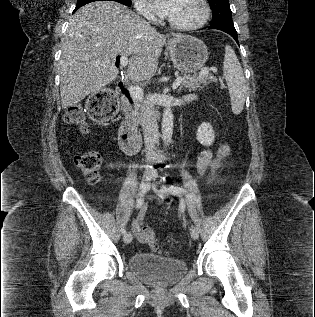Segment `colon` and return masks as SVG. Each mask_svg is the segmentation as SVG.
I'll return each instance as SVG.
<instances>
[{
	"instance_id": "1",
	"label": "colon",
	"mask_w": 315,
	"mask_h": 317,
	"mask_svg": "<svg viewBox=\"0 0 315 317\" xmlns=\"http://www.w3.org/2000/svg\"><path fill=\"white\" fill-rule=\"evenodd\" d=\"M87 114L95 121L103 122L110 120L117 112L118 102L115 92L111 89H102L94 93L87 102ZM65 122L86 132L87 123L83 110L79 106L69 107L64 114ZM75 165L82 171L86 180L96 183L100 178L102 157L96 150H88L78 154L74 158ZM141 240L148 244L154 251L162 248L156 240L154 230L149 226H143Z\"/></svg>"
}]
</instances>
